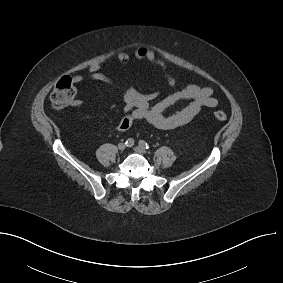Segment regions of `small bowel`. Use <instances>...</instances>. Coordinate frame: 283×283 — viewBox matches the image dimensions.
Returning <instances> with one entry per match:
<instances>
[{
    "mask_svg": "<svg viewBox=\"0 0 283 283\" xmlns=\"http://www.w3.org/2000/svg\"><path fill=\"white\" fill-rule=\"evenodd\" d=\"M132 57L137 60L147 61L159 68L167 85L171 88L176 87V78L167 72L164 61L158 57L154 50L146 47H137L134 49ZM116 58L121 65H127L130 62L131 56L126 52H119ZM88 78L104 83L121 92L125 114L116 127L118 132L128 131L137 120H145L159 129H174L189 123L204 107L212 108L218 104L217 99L213 96L212 88L197 84H190L172 92L159 102L152 103V100L158 95L157 91L140 93L133 87H121L106 76L98 64H93L89 67ZM85 79L82 75L73 77L75 83H81ZM181 100H189L190 102L171 114H165L167 108ZM73 103L74 105H80L81 100L77 99Z\"/></svg>",
    "mask_w": 283,
    "mask_h": 283,
    "instance_id": "c3829d8e",
    "label": "small bowel"
}]
</instances>
